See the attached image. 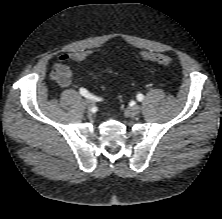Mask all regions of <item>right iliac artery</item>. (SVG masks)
<instances>
[{
    "instance_id": "obj_1",
    "label": "right iliac artery",
    "mask_w": 222,
    "mask_h": 219,
    "mask_svg": "<svg viewBox=\"0 0 222 219\" xmlns=\"http://www.w3.org/2000/svg\"><path fill=\"white\" fill-rule=\"evenodd\" d=\"M79 92L82 96H84L86 98L99 99V98H96L95 96H93L92 94H90L85 88H80Z\"/></svg>"
}]
</instances>
